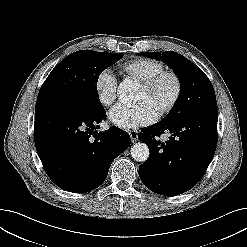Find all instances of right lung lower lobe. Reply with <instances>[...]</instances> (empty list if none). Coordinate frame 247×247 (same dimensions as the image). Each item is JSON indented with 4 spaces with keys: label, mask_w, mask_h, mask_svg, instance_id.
Segmentation results:
<instances>
[{
    "label": "right lung lower lobe",
    "mask_w": 247,
    "mask_h": 247,
    "mask_svg": "<svg viewBox=\"0 0 247 247\" xmlns=\"http://www.w3.org/2000/svg\"><path fill=\"white\" fill-rule=\"evenodd\" d=\"M105 117L104 111L91 113L59 97L37 99L36 149L45 172L60 188L73 193L96 189L130 145L129 134L119 128L96 131Z\"/></svg>",
    "instance_id": "98d812e1"
}]
</instances>
